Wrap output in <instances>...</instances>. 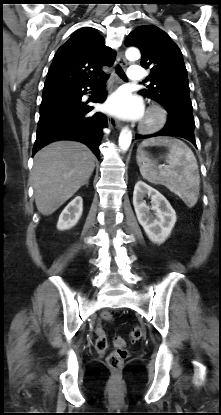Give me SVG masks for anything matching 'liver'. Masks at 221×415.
<instances>
[{"label": "liver", "instance_id": "6515ba94", "mask_svg": "<svg viewBox=\"0 0 221 415\" xmlns=\"http://www.w3.org/2000/svg\"><path fill=\"white\" fill-rule=\"evenodd\" d=\"M94 167V154L79 142L57 141L38 151L32 169L38 211L54 213L87 182Z\"/></svg>", "mask_w": 221, "mask_h": 415}]
</instances>
